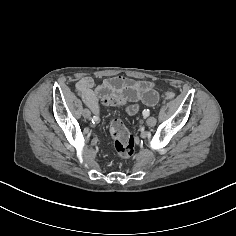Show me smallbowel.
Segmentation results:
<instances>
[{
    "instance_id": "1",
    "label": "small bowel",
    "mask_w": 236,
    "mask_h": 236,
    "mask_svg": "<svg viewBox=\"0 0 236 236\" xmlns=\"http://www.w3.org/2000/svg\"><path fill=\"white\" fill-rule=\"evenodd\" d=\"M76 90L94 114L100 113L98 98L106 94L125 95L130 104L126 107L129 114L139 109V104L154 105L158 95L150 82L128 80L123 77H113L95 86L92 77L84 76L76 84Z\"/></svg>"
}]
</instances>
